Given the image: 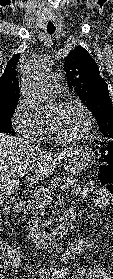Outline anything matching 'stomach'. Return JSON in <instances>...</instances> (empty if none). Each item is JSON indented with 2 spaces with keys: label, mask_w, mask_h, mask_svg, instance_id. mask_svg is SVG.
Segmentation results:
<instances>
[{
  "label": "stomach",
  "mask_w": 113,
  "mask_h": 279,
  "mask_svg": "<svg viewBox=\"0 0 113 279\" xmlns=\"http://www.w3.org/2000/svg\"><path fill=\"white\" fill-rule=\"evenodd\" d=\"M95 152L87 147L81 146L71 150L70 155L64 160V169L74 174L91 166L95 161Z\"/></svg>",
  "instance_id": "obj_1"
}]
</instances>
